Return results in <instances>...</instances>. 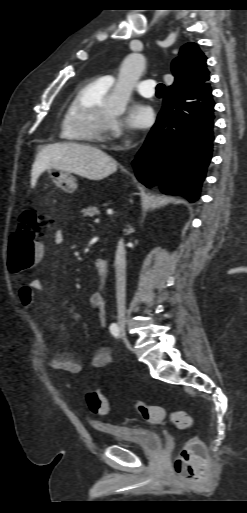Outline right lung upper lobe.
<instances>
[{"mask_svg": "<svg viewBox=\"0 0 247 513\" xmlns=\"http://www.w3.org/2000/svg\"><path fill=\"white\" fill-rule=\"evenodd\" d=\"M206 59L195 43L190 42L182 46L179 56L172 61L175 81L167 90L193 92L203 88L209 80Z\"/></svg>", "mask_w": 247, "mask_h": 513, "instance_id": "1", "label": "right lung upper lobe"}]
</instances>
